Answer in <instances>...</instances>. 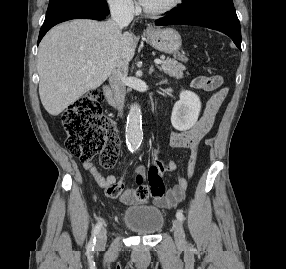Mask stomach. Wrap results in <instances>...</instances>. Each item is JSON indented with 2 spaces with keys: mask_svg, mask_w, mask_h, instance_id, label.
I'll use <instances>...</instances> for the list:
<instances>
[{
  "mask_svg": "<svg viewBox=\"0 0 286 269\" xmlns=\"http://www.w3.org/2000/svg\"><path fill=\"white\" fill-rule=\"evenodd\" d=\"M147 39L152 47L155 49L168 53L174 54L176 49L181 47V36L173 28H152L147 31Z\"/></svg>",
  "mask_w": 286,
  "mask_h": 269,
  "instance_id": "stomach-1",
  "label": "stomach"
}]
</instances>
